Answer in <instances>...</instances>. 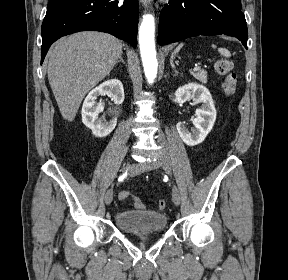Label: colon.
Instances as JSON below:
<instances>
[{"label":"colon","instance_id":"5ec220e1","mask_svg":"<svg viewBox=\"0 0 288 280\" xmlns=\"http://www.w3.org/2000/svg\"><path fill=\"white\" fill-rule=\"evenodd\" d=\"M214 69L222 77L221 87L225 94L231 95L236 90V75L232 72V62L225 58L214 59ZM131 198L134 202L135 207L143 209L145 206L140 198L134 197L128 191H122L119 194V199L121 201ZM166 207V202L164 200L158 201V208L164 210Z\"/></svg>","mask_w":288,"mask_h":280}]
</instances>
